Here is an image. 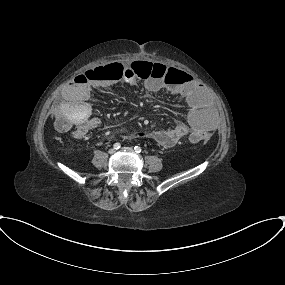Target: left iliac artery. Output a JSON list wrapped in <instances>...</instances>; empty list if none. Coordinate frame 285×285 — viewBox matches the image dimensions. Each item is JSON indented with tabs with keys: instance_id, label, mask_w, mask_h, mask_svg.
<instances>
[{
	"instance_id": "1",
	"label": "left iliac artery",
	"mask_w": 285,
	"mask_h": 285,
	"mask_svg": "<svg viewBox=\"0 0 285 285\" xmlns=\"http://www.w3.org/2000/svg\"><path fill=\"white\" fill-rule=\"evenodd\" d=\"M134 151H135L136 153H140V152L142 151V149H141V147H139V146H135V147H134Z\"/></svg>"
}]
</instances>
